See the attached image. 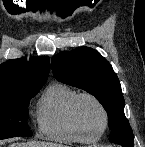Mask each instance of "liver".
I'll return each mask as SVG.
<instances>
[{"label": "liver", "instance_id": "obj_1", "mask_svg": "<svg viewBox=\"0 0 145 147\" xmlns=\"http://www.w3.org/2000/svg\"><path fill=\"white\" fill-rule=\"evenodd\" d=\"M10 147H65L61 144H55L50 142H27V143H13Z\"/></svg>", "mask_w": 145, "mask_h": 147}]
</instances>
